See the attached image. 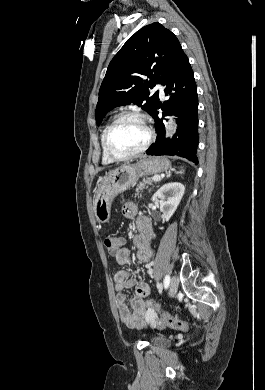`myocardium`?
Masks as SVG:
<instances>
[{
    "label": "myocardium",
    "mask_w": 265,
    "mask_h": 390,
    "mask_svg": "<svg viewBox=\"0 0 265 390\" xmlns=\"http://www.w3.org/2000/svg\"><path fill=\"white\" fill-rule=\"evenodd\" d=\"M127 118L136 119V120L140 121L145 126L146 131H147V139H146L145 143L143 144V146L141 148H139L138 150H136L132 153L126 154V155H118L110 147V135H111L113 129L117 126V124H119L122 120L127 119ZM153 140H154V131H153L149 121L147 120V118L143 114L136 112V111H125V112H122L121 114H119L107 127L105 134H104V137H103V145H104V149H105L106 154L113 161H126V160H130L134 157H137V156L143 154L150 147Z\"/></svg>",
    "instance_id": "1"
}]
</instances>
